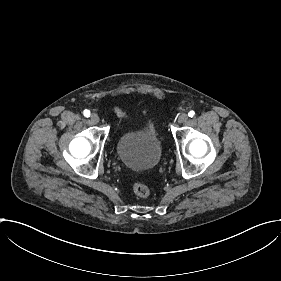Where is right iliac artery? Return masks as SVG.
I'll use <instances>...</instances> for the list:
<instances>
[{
	"instance_id": "82829eb1",
	"label": "right iliac artery",
	"mask_w": 281,
	"mask_h": 281,
	"mask_svg": "<svg viewBox=\"0 0 281 281\" xmlns=\"http://www.w3.org/2000/svg\"><path fill=\"white\" fill-rule=\"evenodd\" d=\"M85 117H89L90 116V110L85 109L83 112Z\"/></svg>"
}]
</instances>
